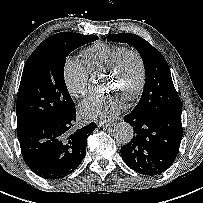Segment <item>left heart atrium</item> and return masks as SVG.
I'll return each instance as SVG.
<instances>
[{
	"mask_svg": "<svg viewBox=\"0 0 203 203\" xmlns=\"http://www.w3.org/2000/svg\"><path fill=\"white\" fill-rule=\"evenodd\" d=\"M124 108L122 100L111 97L91 96L82 102L80 116L85 120L109 121Z\"/></svg>",
	"mask_w": 203,
	"mask_h": 203,
	"instance_id": "obj_1",
	"label": "left heart atrium"
}]
</instances>
